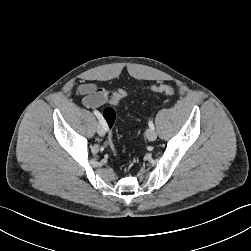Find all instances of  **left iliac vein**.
Here are the masks:
<instances>
[{
  "label": "left iliac vein",
  "instance_id": "left-iliac-vein-1",
  "mask_svg": "<svg viewBox=\"0 0 251 251\" xmlns=\"http://www.w3.org/2000/svg\"><path fill=\"white\" fill-rule=\"evenodd\" d=\"M146 137H147V139H148L149 141H154V140H156V138H157V134H156L155 130L148 129V130L146 131Z\"/></svg>",
  "mask_w": 251,
  "mask_h": 251
}]
</instances>
